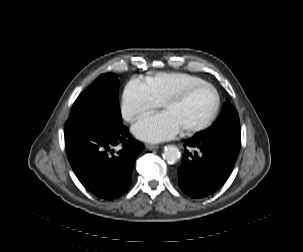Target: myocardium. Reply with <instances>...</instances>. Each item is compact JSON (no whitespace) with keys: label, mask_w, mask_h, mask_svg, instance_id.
Instances as JSON below:
<instances>
[{"label":"myocardium","mask_w":303,"mask_h":252,"mask_svg":"<svg viewBox=\"0 0 303 252\" xmlns=\"http://www.w3.org/2000/svg\"><path fill=\"white\" fill-rule=\"evenodd\" d=\"M202 87L209 89L213 93L214 107H213L212 113L210 114L209 118L203 124H201L195 128H192V129L181 130L183 136H186V137L193 136V135L207 129L213 123V121L215 120V118L218 114V111L220 108V103H221V99H220L218 90L213 85H210V84H206L205 86H194L193 88L189 89L182 95L171 98L162 105L163 108H168L172 105L182 104L189 96H191L193 93L197 92Z\"/></svg>","instance_id":"1"}]
</instances>
